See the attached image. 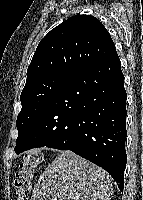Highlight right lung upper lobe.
Here are the masks:
<instances>
[{
	"label": "right lung upper lobe",
	"mask_w": 143,
	"mask_h": 200,
	"mask_svg": "<svg viewBox=\"0 0 143 200\" xmlns=\"http://www.w3.org/2000/svg\"><path fill=\"white\" fill-rule=\"evenodd\" d=\"M113 51V40L98 19L91 15L70 17L38 44L27 69L26 84L51 74L71 76Z\"/></svg>",
	"instance_id": "right-lung-upper-lobe-1"
}]
</instances>
